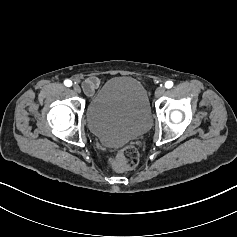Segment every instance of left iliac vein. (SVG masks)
<instances>
[{"label": "left iliac vein", "mask_w": 237, "mask_h": 237, "mask_svg": "<svg viewBox=\"0 0 237 237\" xmlns=\"http://www.w3.org/2000/svg\"><path fill=\"white\" fill-rule=\"evenodd\" d=\"M165 93V88L164 87H158L155 91V96L160 97Z\"/></svg>", "instance_id": "1"}]
</instances>
